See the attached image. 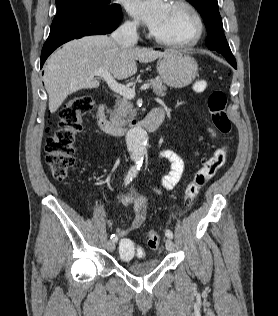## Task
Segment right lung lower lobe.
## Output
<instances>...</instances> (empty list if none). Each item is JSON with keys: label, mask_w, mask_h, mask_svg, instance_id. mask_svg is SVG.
<instances>
[{"label": "right lung lower lobe", "mask_w": 278, "mask_h": 316, "mask_svg": "<svg viewBox=\"0 0 278 316\" xmlns=\"http://www.w3.org/2000/svg\"><path fill=\"white\" fill-rule=\"evenodd\" d=\"M122 19L119 7L111 14L82 16L51 25L50 34L41 52V67L47 57L60 45L88 35H102L114 31Z\"/></svg>", "instance_id": "right-lung-lower-lobe-1"}]
</instances>
